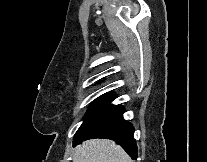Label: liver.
Wrapping results in <instances>:
<instances>
[{
  "instance_id": "obj_1",
  "label": "liver",
  "mask_w": 207,
  "mask_h": 162,
  "mask_svg": "<svg viewBox=\"0 0 207 162\" xmlns=\"http://www.w3.org/2000/svg\"><path fill=\"white\" fill-rule=\"evenodd\" d=\"M73 162H133L124 149L108 139L87 140L74 149Z\"/></svg>"
}]
</instances>
